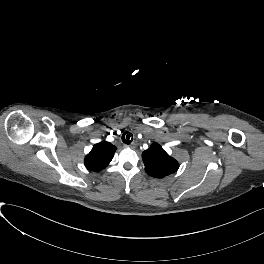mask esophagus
<instances>
[{
	"label": "esophagus",
	"mask_w": 264,
	"mask_h": 264,
	"mask_svg": "<svg viewBox=\"0 0 264 264\" xmlns=\"http://www.w3.org/2000/svg\"><path fill=\"white\" fill-rule=\"evenodd\" d=\"M125 147L135 148V143L132 142L131 144H127V145H125Z\"/></svg>",
	"instance_id": "1"
}]
</instances>
